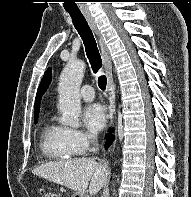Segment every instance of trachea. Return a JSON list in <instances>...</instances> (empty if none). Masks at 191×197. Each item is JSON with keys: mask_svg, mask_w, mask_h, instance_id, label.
<instances>
[{"mask_svg": "<svg viewBox=\"0 0 191 197\" xmlns=\"http://www.w3.org/2000/svg\"><path fill=\"white\" fill-rule=\"evenodd\" d=\"M73 25L75 26L76 30L80 34L85 50L86 55L89 59L91 67L94 73H97L99 69L102 67V59L97 47L96 40L90 29L85 17L81 12H69ZM107 84V79L104 75L98 77V86L101 90H105Z\"/></svg>", "mask_w": 191, "mask_h": 197, "instance_id": "1", "label": "trachea"}]
</instances>
